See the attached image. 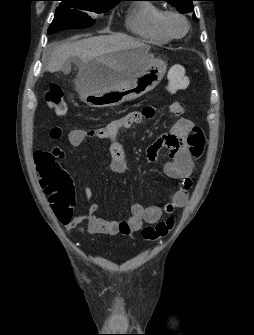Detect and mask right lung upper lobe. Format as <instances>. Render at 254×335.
<instances>
[{"mask_svg": "<svg viewBox=\"0 0 254 335\" xmlns=\"http://www.w3.org/2000/svg\"><path fill=\"white\" fill-rule=\"evenodd\" d=\"M92 1L118 3V2H120V1H122V0H92Z\"/></svg>", "mask_w": 254, "mask_h": 335, "instance_id": "cb5924a9", "label": "right lung upper lobe"}]
</instances>
